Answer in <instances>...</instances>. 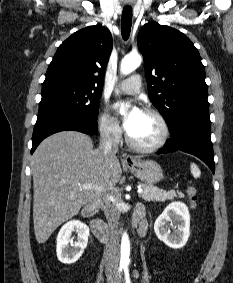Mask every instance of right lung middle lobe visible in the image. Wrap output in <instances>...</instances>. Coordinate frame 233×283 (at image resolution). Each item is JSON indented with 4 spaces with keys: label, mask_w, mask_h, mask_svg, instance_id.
<instances>
[{
    "label": "right lung middle lobe",
    "mask_w": 233,
    "mask_h": 283,
    "mask_svg": "<svg viewBox=\"0 0 233 283\" xmlns=\"http://www.w3.org/2000/svg\"><path fill=\"white\" fill-rule=\"evenodd\" d=\"M38 115L65 112L75 116L97 119L101 91L68 84L49 82L42 84Z\"/></svg>",
    "instance_id": "dd1d6c3e"
}]
</instances>
